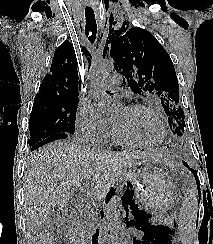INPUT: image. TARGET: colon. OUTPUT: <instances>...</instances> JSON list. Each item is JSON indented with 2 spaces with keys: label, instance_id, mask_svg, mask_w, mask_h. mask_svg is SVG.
<instances>
[{
  "label": "colon",
  "instance_id": "5ec220e1",
  "mask_svg": "<svg viewBox=\"0 0 213 244\" xmlns=\"http://www.w3.org/2000/svg\"><path fill=\"white\" fill-rule=\"evenodd\" d=\"M177 111V110H176ZM38 244H54V238L51 233H46L43 234L40 239ZM135 244H145L144 242H137Z\"/></svg>",
  "mask_w": 213,
  "mask_h": 244
}]
</instances>
